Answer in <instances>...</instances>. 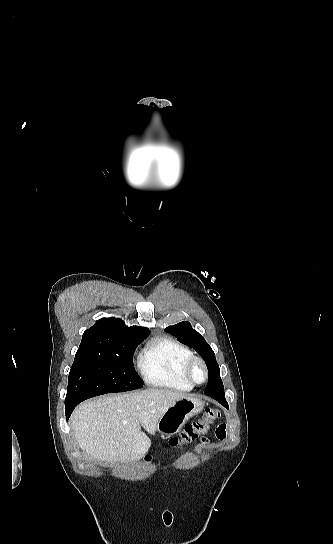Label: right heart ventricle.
Segmentation results:
<instances>
[{"label": "right heart ventricle", "mask_w": 333, "mask_h": 544, "mask_svg": "<svg viewBox=\"0 0 333 544\" xmlns=\"http://www.w3.org/2000/svg\"><path fill=\"white\" fill-rule=\"evenodd\" d=\"M191 357L192 351L180 341L155 337L141 351L138 368L145 382L151 386L190 391L193 386L184 379L182 369Z\"/></svg>", "instance_id": "e07e8e85"}]
</instances>
